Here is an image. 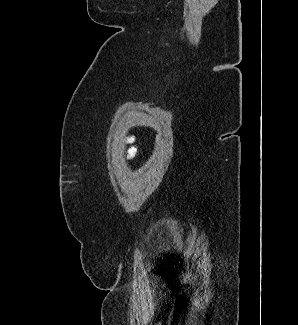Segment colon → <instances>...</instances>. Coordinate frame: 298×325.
Instances as JSON below:
<instances>
[{"mask_svg": "<svg viewBox=\"0 0 298 325\" xmlns=\"http://www.w3.org/2000/svg\"><path fill=\"white\" fill-rule=\"evenodd\" d=\"M134 154H135V149H134V148H130V149L128 150V156H129V157H132Z\"/></svg>", "mask_w": 298, "mask_h": 325, "instance_id": "obj_1", "label": "colon"}]
</instances>
